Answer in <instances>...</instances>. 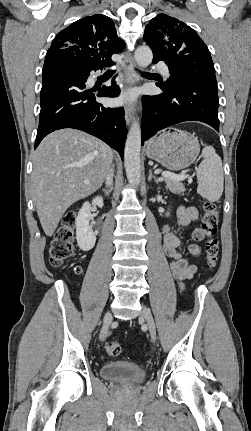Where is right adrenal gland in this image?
Instances as JSON below:
<instances>
[{"mask_svg":"<svg viewBox=\"0 0 251 431\" xmlns=\"http://www.w3.org/2000/svg\"><path fill=\"white\" fill-rule=\"evenodd\" d=\"M112 185L106 189V188H102V192L104 193L105 196H109V194L112 192Z\"/></svg>","mask_w":251,"mask_h":431,"instance_id":"2a0ac1e0","label":"right adrenal gland"}]
</instances>
